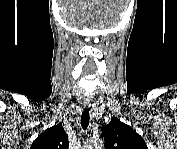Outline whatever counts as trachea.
Instances as JSON below:
<instances>
[{
	"mask_svg": "<svg viewBox=\"0 0 177 149\" xmlns=\"http://www.w3.org/2000/svg\"><path fill=\"white\" fill-rule=\"evenodd\" d=\"M89 110H90L89 108H85L81 115V126L83 129H86L89 124L90 119Z\"/></svg>",
	"mask_w": 177,
	"mask_h": 149,
	"instance_id": "obj_1",
	"label": "trachea"
}]
</instances>
